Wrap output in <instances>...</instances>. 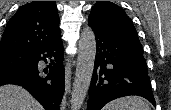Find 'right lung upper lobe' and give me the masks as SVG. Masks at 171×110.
<instances>
[{
  "label": "right lung upper lobe",
  "mask_w": 171,
  "mask_h": 110,
  "mask_svg": "<svg viewBox=\"0 0 171 110\" xmlns=\"http://www.w3.org/2000/svg\"><path fill=\"white\" fill-rule=\"evenodd\" d=\"M55 1H33L21 6L8 21L0 52H32L60 38Z\"/></svg>",
  "instance_id": "cb5924a9"
}]
</instances>
